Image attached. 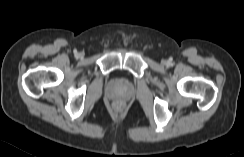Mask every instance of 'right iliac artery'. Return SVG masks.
<instances>
[{"label": "right iliac artery", "mask_w": 244, "mask_h": 157, "mask_svg": "<svg viewBox=\"0 0 244 157\" xmlns=\"http://www.w3.org/2000/svg\"><path fill=\"white\" fill-rule=\"evenodd\" d=\"M74 54H75V55L77 54V50H74Z\"/></svg>", "instance_id": "1"}]
</instances>
